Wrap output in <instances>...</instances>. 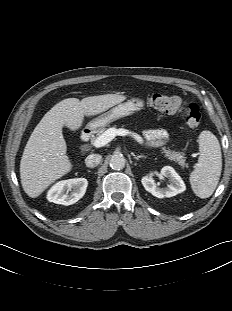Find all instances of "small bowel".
<instances>
[{
    "label": "small bowel",
    "mask_w": 232,
    "mask_h": 311,
    "mask_svg": "<svg viewBox=\"0 0 232 311\" xmlns=\"http://www.w3.org/2000/svg\"><path fill=\"white\" fill-rule=\"evenodd\" d=\"M144 137L148 145L156 147L167 140L168 133L164 129H148L145 131Z\"/></svg>",
    "instance_id": "c3829d8e"
}]
</instances>
